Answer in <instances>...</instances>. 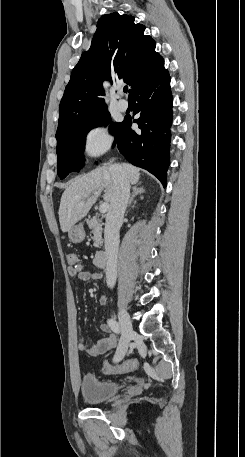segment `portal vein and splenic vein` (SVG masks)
<instances>
[{
    "instance_id": "18ae733b",
    "label": "portal vein and splenic vein",
    "mask_w": 245,
    "mask_h": 457,
    "mask_svg": "<svg viewBox=\"0 0 245 457\" xmlns=\"http://www.w3.org/2000/svg\"><path fill=\"white\" fill-rule=\"evenodd\" d=\"M93 194H97V192H93ZM81 204H83V202H81ZM108 208H109L108 202H102V204H100V206H99L100 212H107Z\"/></svg>"
}]
</instances>
